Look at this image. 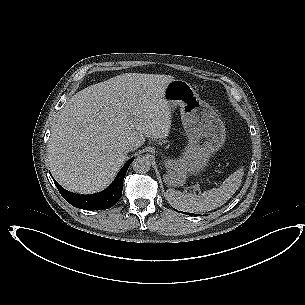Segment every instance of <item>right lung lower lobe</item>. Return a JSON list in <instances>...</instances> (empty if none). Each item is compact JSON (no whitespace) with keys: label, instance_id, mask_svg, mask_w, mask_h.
<instances>
[{"label":"right lung lower lobe","instance_id":"1","mask_svg":"<svg viewBox=\"0 0 305 305\" xmlns=\"http://www.w3.org/2000/svg\"><path fill=\"white\" fill-rule=\"evenodd\" d=\"M133 158L122 167L113 183L104 191L92 195H78L63 189L55 180V185L64 199L76 208L85 210H105L118 202L122 195L123 180Z\"/></svg>","mask_w":305,"mask_h":305}]
</instances>
